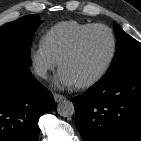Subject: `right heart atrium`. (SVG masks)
<instances>
[{
  "instance_id": "d8ad5b80",
  "label": "right heart atrium",
  "mask_w": 141,
  "mask_h": 141,
  "mask_svg": "<svg viewBox=\"0 0 141 141\" xmlns=\"http://www.w3.org/2000/svg\"><path fill=\"white\" fill-rule=\"evenodd\" d=\"M29 61L33 73L40 79H46L57 66V60L41 45L33 46L30 49Z\"/></svg>"
}]
</instances>
